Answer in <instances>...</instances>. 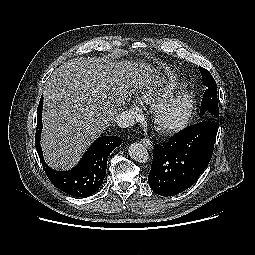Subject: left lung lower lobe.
Here are the masks:
<instances>
[{
	"instance_id": "0a47b994",
	"label": "left lung lower lobe",
	"mask_w": 255,
	"mask_h": 255,
	"mask_svg": "<svg viewBox=\"0 0 255 255\" xmlns=\"http://www.w3.org/2000/svg\"><path fill=\"white\" fill-rule=\"evenodd\" d=\"M218 127L215 121H201L163 146L156 145L148 175L151 189L161 196H173L193 185L211 160Z\"/></svg>"
}]
</instances>
